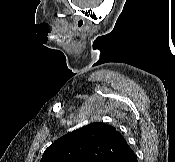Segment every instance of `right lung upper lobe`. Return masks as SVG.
<instances>
[{"mask_svg": "<svg viewBox=\"0 0 175 162\" xmlns=\"http://www.w3.org/2000/svg\"><path fill=\"white\" fill-rule=\"evenodd\" d=\"M131 150L115 127L95 122L59 138L40 162H114Z\"/></svg>", "mask_w": 175, "mask_h": 162, "instance_id": "right-lung-upper-lobe-1", "label": "right lung upper lobe"}]
</instances>
